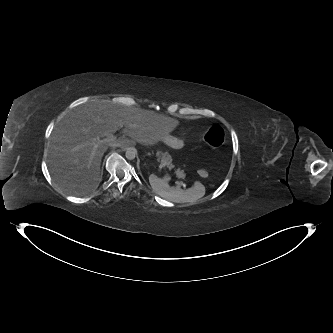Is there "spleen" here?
<instances>
[{"mask_svg":"<svg viewBox=\"0 0 333 333\" xmlns=\"http://www.w3.org/2000/svg\"><path fill=\"white\" fill-rule=\"evenodd\" d=\"M171 179L169 175L158 177L155 174L149 176V182L153 191L159 196L174 202H194L205 195V187L200 182L183 190L178 187H171L168 181Z\"/></svg>","mask_w":333,"mask_h":333,"instance_id":"3e777b00","label":"spleen"}]
</instances>
